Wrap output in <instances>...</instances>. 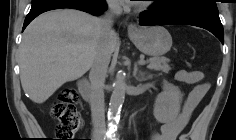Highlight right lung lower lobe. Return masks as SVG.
Returning <instances> with one entry per match:
<instances>
[{"instance_id":"right-lung-lower-lobe-1","label":"right lung lower lobe","mask_w":236,"mask_h":140,"mask_svg":"<svg viewBox=\"0 0 236 140\" xmlns=\"http://www.w3.org/2000/svg\"><path fill=\"white\" fill-rule=\"evenodd\" d=\"M61 8L78 9L93 15H99L107 9V5L104 0H101L99 5H94L86 0H42L32 4L31 10L24 21L23 30L41 13Z\"/></svg>"}]
</instances>
